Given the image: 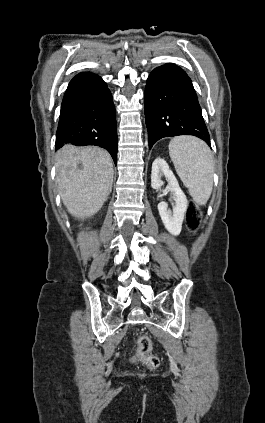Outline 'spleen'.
<instances>
[{
	"label": "spleen",
	"mask_w": 265,
	"mask_h": 423,
	"mask_svg": "<svg viewBox=\"0 0 265 423\" xmlns=\"http://www.w3.org/2000/svg\"><path fill=\"white\" fill-rule=\"evenodd\" d=\"M169 155L193 200L205 205L212 193L214 169L207 144L196 137H175L169 143Z\"/></svg>",
	"instance_id": "spleen-1"
}]
</instances>
